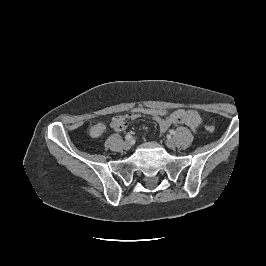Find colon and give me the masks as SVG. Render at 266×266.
<instances>
[{
  "label": "colon",
  "mask_w": 266,
  "mask_h": 266,
  "mask_svg": "<svg viewBox=\"0 0 266 266\" xmlns=\"http://www.w3.org/2000/svg\"><path fill=\"white\" fill-rule=\"evenodd\" d=\"M171 112L164 108H154V107H146V106H137L133 108L128 115L134 118H141V117H150L152 119L156 117H166L169 116ZM205 129L208 132H213L215 127L212 125L205 126Z\"/></svg>",
  "instance_id": "1"
}]
</instances>
